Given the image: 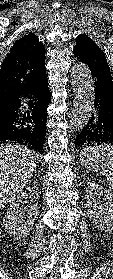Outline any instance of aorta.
<instances>
[{"label":"aorta","mask_w":113,"mask_h":279,"mask_svg":"<svg viewBox=\"0 0 113 279\" xmlns=\"http://www.w3.org/2000/svg\"><path fill=\"white\" fill-rule=\"evenodd\" d=\"M73 109L70 132H79L88 123L94 110L95 93L90 70L85 64L75 63L71 68Z\"/></svg>","instance_id":"aorta-1"}]
</instances>
